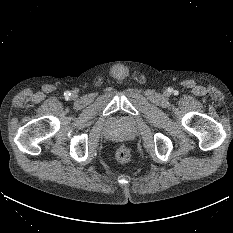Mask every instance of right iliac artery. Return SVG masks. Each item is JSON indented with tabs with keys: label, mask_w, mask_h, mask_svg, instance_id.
I'll return each instance as SVG.
<instances>
[{
	"label": "right iliac artery",
	"mask_w": 233,
	"mask_h": 233,
	"mask_svg": "<svg viewBox=\"0 0 233 233\" xmlns=\"http://www.w3.org/2000/svg\"><path fill=\"white\" fill-rule=\"evenodd\" d=\"M64 95H65V97H69V96L71 95V93L68 92V91H66V92L64 93Z\"/></svg>",
	"instance_id": "obj_1"
}]
</instances>
